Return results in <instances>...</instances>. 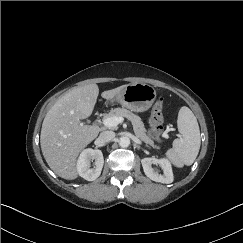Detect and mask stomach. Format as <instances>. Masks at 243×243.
I'll return each mask as SVG.
<instances>
[{
  "label": "stomach",
  "mask_w": 243,
  "mask_h": 243,
  "mask_svg": "<svg viewBox=\"0 0 243 243\" xmlns=\"http://www.w3.org/2000/svg\"><path fill=\"white\" fill-rule=\"evenodd\" d=\"M156 99V90L146 83H131L116 96V101L134 112L147 111Z\"/></svg>",
  "instance_id": "1"
}]
</instances>
